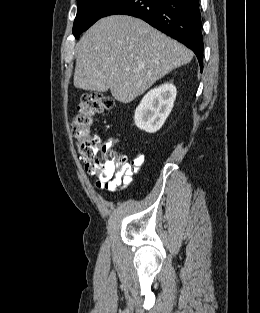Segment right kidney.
<instances>
[{
    "label": "right kidney",
    "instance_id": "ca27d5eb",
    "mask_svg": "<svg viewBox=\"0 0 260 313\" xmlns=\"http://www.w3.org/2000/svg\"><path fill=\"white\" fill-rule=\"evenodd\" d=\"M176 93V87L171 83L150 90L135 110V125L148 133L157 132L173 108Z\"/></svg>",
    "mask_w": 260,
    "mask_h": 313
}]
</instances>
